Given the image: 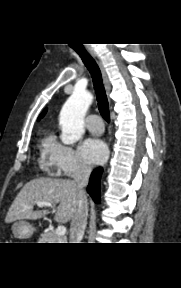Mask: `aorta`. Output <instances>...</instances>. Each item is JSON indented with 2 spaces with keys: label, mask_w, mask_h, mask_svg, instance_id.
I'll list each match as a JSON object with an SVG mask.
<instances>
[{
  "label": "aorta",
  "mask_w": 181,
  "mask_h": 288,
  "mask_svg": "<svg viewBox=\"0 0 181 288\" xmlns=\"http://www.w3.org/2000/svg\"><path fill=\"white\" fill-rule=\"evenodd\" d=\"M92 100L93 96L89 92L75 90L64 104L59 118L61 141L64 144H74L83 135L84 117Z\"/></svg>",
  "instance_id": "obj_1"
}]
</instances>
